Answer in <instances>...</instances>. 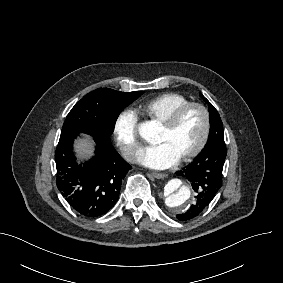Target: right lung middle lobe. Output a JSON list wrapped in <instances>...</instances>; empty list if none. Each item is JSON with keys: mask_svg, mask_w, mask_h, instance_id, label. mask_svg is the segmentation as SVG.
Returning <instances> with one entry per match:
<instances>
[{"mask_svg": "<svg viewBox=\"0 0 283 283\" xmlns=\"http://www.w3.org/2000/svg\"><path fill=\"white\" fill-rule=\"evenodd\" d=\"M144 92H119L99 88L84 96L71 109L61 133L82 132L92 137L110 140L121 111Z\"/></svg>", "mask_w": 283, "mask_h": 283, "instance_id": "obj_1", "label": "right lung middle lobe"}]
</instances>
